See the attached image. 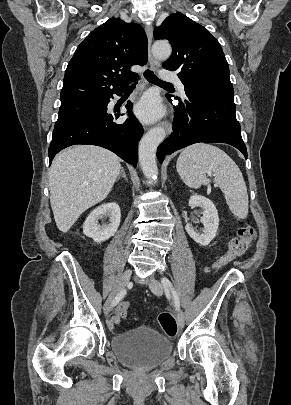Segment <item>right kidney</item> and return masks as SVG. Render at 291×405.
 I'll return each instance as SVG.
<instances>
[{"instance_id":"right-kidney-1","label":"right kidney","mask_w":291,"mask_h":405,"mask_svg":"<svg viewBox=\"0 0 291 405\" xmlns=\"http://www.w3.org/2000/svg\"><path fill=\"white\" fill-rule=\"evenodd\" d=\"M108 216V225H98V219ZM121 211L115 202L102 204L95 208L86 218L83 224V233L92 238L95 242L101 243L108 240L116 232L120 225Z\"/></svg>"}]
</instances>
